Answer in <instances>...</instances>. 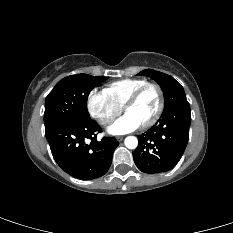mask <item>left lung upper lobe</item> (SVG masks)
<instances>
[{
	"mask_svg": "<svg viewBox=\"0 0 233 233\" xmlns=\"http://www.w3.org/2000/svg\"><path fill=\"white\" fill-rule=\"evenodd\" d=\"M138 75L149 76L160 85L164 93V111L186 99L183 87L172 76L152 69H145Z\"/></svg>",
	"mask_w": 233,
	"mask_h": 233,
	"instance_id": "1",
	"label": "left lung upper lobe"
}]
</instances>
